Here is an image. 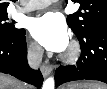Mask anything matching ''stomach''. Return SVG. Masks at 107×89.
<instances>
[{
	"mask_svg": "<svg viewBox=\"0 0 107 89\" xmlns=\"http://www.w3.org/2000/svg\"><path fill=\"white\" fill-rule=\"evenodd\" d=\"M65 89H87L86 87H82L81 85H68Z\"/></svg>",
	"mask_w": 107,
	"mask_h": 89,
	"instance_id": "1",
	"label": "stomach"
}]
</instances>
